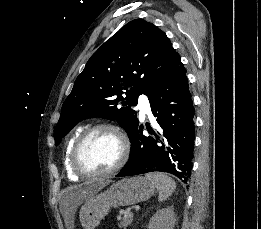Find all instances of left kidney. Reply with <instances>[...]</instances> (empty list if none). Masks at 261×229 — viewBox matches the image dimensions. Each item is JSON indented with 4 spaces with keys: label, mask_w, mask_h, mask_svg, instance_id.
<instances>
[{
    "label": "left kidney",
    "mask_w": 261,
    "mask_h": 229,
    "mask_svg": "<svg viewBox=\"0 0 261 229\" xmlns=\"http://www.w3.org/2000/svg\"><path fill=\"white\" fill-rule=\"evenodd\" d=\"M175 213L172 207L159 209L149 221L148 229H174Z\"/></svg>",
    "instance_id": "1"
}]
</instances>
